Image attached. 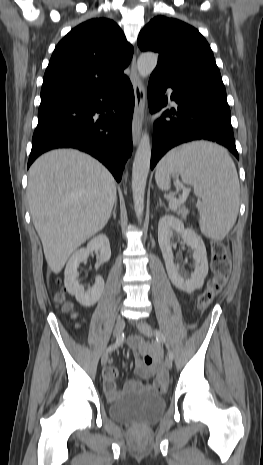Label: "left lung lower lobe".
<instances>
[{"mask_svg":"<svg viewBox=\"0 0 263 465\" xmlns=\"http://www.w3.org/2000/svg\"><path fill=\"white\" fill-rule=\"evenodd\" d=\"M167 88L173 89L171 100L178 106L176 110L165 111L153 125L151 169L167 151L193 140L216 142L239 159L226 94L211 90L193 79H175L152 73L148 84L151 113L167 105V96H164Z\"/></svg>","mask_w":263,"mask_h":465,"instance_id":"1","label":"left lung lower lobe"}]
</instances>
